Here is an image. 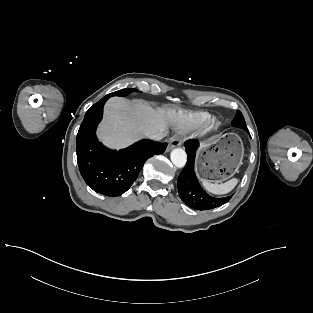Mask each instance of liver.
<instances>
[{
    "label": "liver",
    "instance_id": "obj_1",
    "mask_svg": "<svg viewBox=\"0 0 313 313\" xmlns=\"http://www.w3.org/2000/svg\"><path fill=\"white\" fill-rule=\"evenodd\" d=\"M178 117L173 109H154L142 100L133 102L120 97L109 99L104 108V120L98 135L103 143L123 148L147 137L148 133L164 131Z\"/></svg>",
    "mask_w": 313,
    "mask_h": 313
}]
</instances>
